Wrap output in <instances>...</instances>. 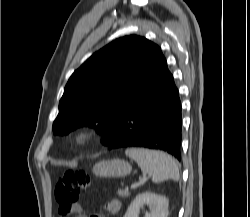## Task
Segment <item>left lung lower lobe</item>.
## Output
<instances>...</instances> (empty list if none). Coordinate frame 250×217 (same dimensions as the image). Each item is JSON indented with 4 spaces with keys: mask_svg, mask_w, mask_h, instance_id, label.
Segmentation results:
<instances>
[{
    "mask_svg": "<svg viewBox=\"0 0 250 217\" xmlns=\"http://www.w3.org/2000/svg\"><path fill=\"white\" fill-rule=\"evenodd\" d=\"M181 122L178 90L160 52L103 144L109 149L144 147L164 150L180 161Z\"/></svg>",
    "mask_w": 250,
    "mask_h": 217,
    "instance_id": "left-lung-lower-lobe-1",
    "label": "left lung lower lobe"
}]
</instances>
